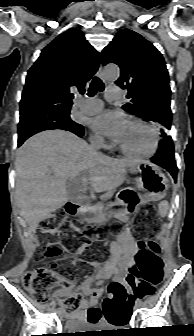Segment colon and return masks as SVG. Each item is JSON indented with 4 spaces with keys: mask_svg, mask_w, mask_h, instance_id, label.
I'll return each instance as SVG.
<instances>
[{
    "mask_svg": "<svg viewBox=\"0 0 194 336\" xmlns=\"http://www.w3.org/2000/svg\"><path fill=\"white\" fill-rule=\"evenodd\" d=\"M71 224L66 213L62 210L55 211L47 216L39 226V235L42 242L43 256L58 257L61 255L63 247L62 240L65 239L66 249L71 253H80L82 255L81 264L86 266L94 261L103 252V241L99 238L93 239L90 235L73 234L71 230L75 228ZM161 228L160 221L151 213V205L144 208L141 215L136 220L133 231L136 234L150 237L159 232ZM160 248L152 240L141 241L138 246V253L132 269L131 282L137 284H146L149 289L162 280L161 262L158 255ZM60 264L54 263L48 267H43L27 272L23 277V285L30 295L38 302H46L50 293L57 287L69 288L72 285L71 280L62 276L58 269ZM110 297L104 301V310L106 318L110 323H116L114 315L117 309L113 306L119 296L127 301H133L134 294L129 292L124 284L113 281L108 287ZM96 293V292H95ZM82 297L80 294H72L65 297L61 305L69 315H75L80 308Z\"/></svg>",
    "mask_w": 194,
    "mask_h": 336,
    "instance_id": "obj_1",
    "label": "colon"
}]
</instances>
